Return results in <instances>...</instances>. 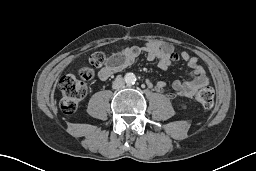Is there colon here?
<instances>
[{
	"label": "colon",
	"mask_w": 256,
	"mask_h": 171,
	"mask_svg": "<svg viewBox=\"0 0 256 171\" xmlns=\"http://www.w3.org/2000/svg\"><path fill=\"white\" fill-rule=\"evenodd\" d=\"M105 62V56L102 52H94L90 57V66H83L79 69L78 77L68 74L63 76L58 84L61 93L60 106L62 111L67 114H73L78 103L87 94L86 83L94 77V68ZM195 99L204 108H212L215 101L214 90L211 86H202L195 92Z\"/></svg>",
	"instance_id": "5ec220e1"
}]
</instances>
